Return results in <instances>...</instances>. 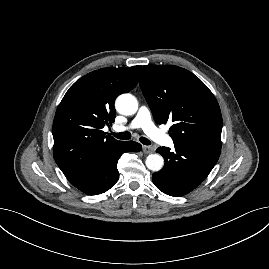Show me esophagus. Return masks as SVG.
<instances>
[{"label": "esophagus", "instance_id": "obj_1", "mask_svg": "<svg viewBox=\"0 0 269 269\" xmlns=\"http://www.w3.org/2000/svg\"><path fill=\"white\" fill-rule=\"evenodd\" d=\"M142 149L145 154H150L153 152V148L151 146L143 145Z\"/></svg>", "mask_w": 269, "mask_h": 269}]
</instances>
